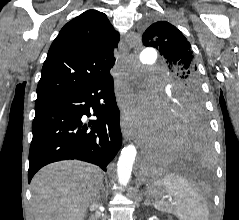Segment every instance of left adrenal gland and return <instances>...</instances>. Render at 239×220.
<instances>
[{
    "label": "left adrenal gland",
    "instance_id": "1",
    "mask_svg": "<svg viewBox=\"0 0 239 220\" xmlns=\"http://www.w3.org/2000/svg\"><path fill=\"white\" fill-rule=\"evenodd\" d=\"M144 204L147 205V206H148V205H151V202H150V200H149L148 197H147L146 201L144 202Z\"/></svg>",
    "mask_w": 239,
    "mask_h": 220
}]
</instances>
